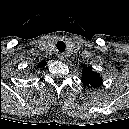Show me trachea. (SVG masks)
Segmentation results:
<instances>
[{"mask_svg":"<svg viewBox=\"0 0 129 129\" xmlns=\"http://www.w3.org/2000/svg\"><path fill=\"white\" fill-rule=\"evenodd\" d=\"M56 47L60 52H64L65 48H66V45L63 41H58L57 44H56Z\"/></svg>","mask_w":129,"mask_h":129,"instance_id":"3493384b","label":"trachea"}]
</instances>
